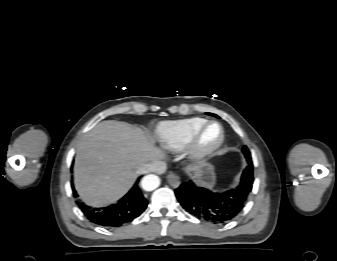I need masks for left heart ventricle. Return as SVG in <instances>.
<instances>
[{
    "label": "left heart ventricle",
    "mask_w": 337,
    "mask_h": 261,
    "mask_svg": "<svg viewBox=\"0 0 337 261\" xmlns=\"http://www.w3.org/2000/svg\"><path fill=\"white\" fill-rule=\"evenodd\" d=\"M219 137V129L216 125L209 126L201 136L200 145L204 148L213 145Z\"/></svg>",
    "instance_id": "1"
}]
</instances>
